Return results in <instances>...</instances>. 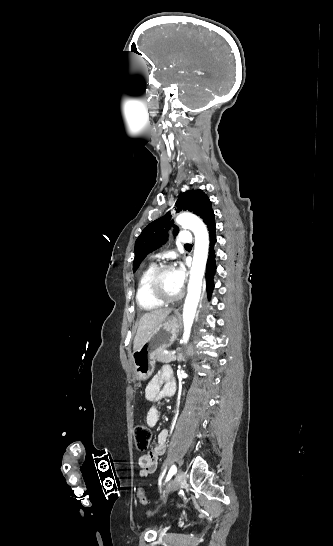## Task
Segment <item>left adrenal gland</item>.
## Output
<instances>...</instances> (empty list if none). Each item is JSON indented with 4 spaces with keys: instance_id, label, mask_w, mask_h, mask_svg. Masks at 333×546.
<instances>
[{
    "instance_id": "a2214340",
    "label": "left adrenal gland",
    "mask_w": 333,
    "mask_h": 546,
    "mask_svg": "<svg viewBox=\"0 0 333 546\" xmlns=\"http://www.w3.org/2000/svg\"><path fill=\"white\" fill-rule=\"evenodd\" d=\"M178 359H179V360H183V358H182V356H181V355H179Z\"/></svg>"
}]
</instances>
